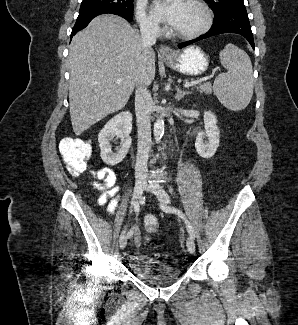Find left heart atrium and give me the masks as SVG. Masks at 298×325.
I'll return each instance as SVG.
<instances>
[{
  "label": "left heart atrium",
  "instance_id": "1",
  "mask_svg": "<svg viewBox=\"0 0 298 325\" xmlns=\"http://www.w3.org/2000/svg\"><path fill=\"white\" fill-rule=\"evenodd\" d=\"M180 10L181 2L179 0H157L153 5L154 17L168 26L177 22Z\"/></svg>",
  "mask_w": 298,
  "mask_h": 325
}]
</instances>
